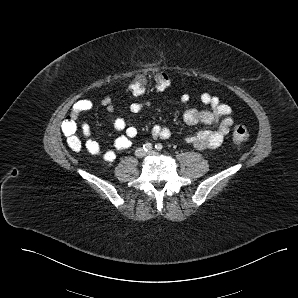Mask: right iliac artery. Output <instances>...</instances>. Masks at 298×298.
Returning a JSON list of instances; mask_svg holds the SVG:
<instances>
[{
    "instance_id": "obj_1",
    "label": "right iliac artery",
    "mask_w": 298,
    "mask_h": 298,
    "mask_svg": "<svg viewBox=\"0 0 298 298\" xmlns=\"http://www.w3.org/2000/svg\"><path fill=\"white\" fill-rule=\"evenodd\" d=\"M152 144L151 143H145L144 145H143V149L145 150V151H151L152 150Z\"/></svg>"
}]
</instances>
